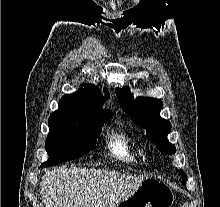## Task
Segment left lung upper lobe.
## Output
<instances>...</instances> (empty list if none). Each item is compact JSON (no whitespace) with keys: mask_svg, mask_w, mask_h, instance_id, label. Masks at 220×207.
I'll list each match as a JSON object with an SVG mask.
<instances>
[{"mask_svg":"<svg viewBox=\"0 0 220 207\" xmlns=\"http://www.w3.org/2000/svg\"><path fill=\"white\" fill-rule=\"evenodd\" d=\"M115 92L122 109L130 114L133 122L146 129L147 138L165 155L174 154L176 148L166 138L170 133L171 123L159 116L162 101L149 97L134 99L127 86L116 88Z\"/></svg>","mask_w":220,"mask_h":207,"instance_id":"obj_1","label":"left lung upper lobe"}]
</instances>
